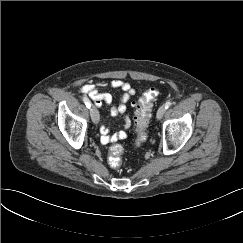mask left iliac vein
Returning a JSON list of instances; mask_svg holds the SVG:
<instances>
[{"label": "left iliac vein", "mask_w": 243, "mask_h": 243, "mask_svg": "<svg viewBox=\"0 0 243 243\" xmlns=\"http://www.w3.org/2000/svg\"><path fill=\"white\" fill-rule=\"evenodd\" d=\"M166 109L165 106H161L159 107L158 111H157V119H161L163 117V115L165 114Z\"/></svg>", "instance_id": "1"}]
</instances>
